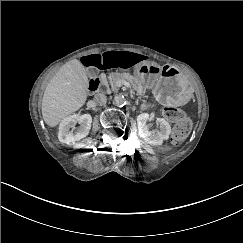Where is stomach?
I'll list each match as a JSON object with an SVG mask.
<instances>
[{"mask_svg": "<svg viewBox=\"0 0 243 243\" xmlns=\"http://www.w3.org/2000/svg\"><path fill=\"white\" fill-rule=\"evenodd\" d=\"M144 87L152 89L155 98L166 106H181L192 97L188 79L175 67L144 62L135 70Z\"/></svg>", "mask_w": 243, "mask_h": 243, "instance_id": "0dacf381", "label": "stomach"}]
</instances>
